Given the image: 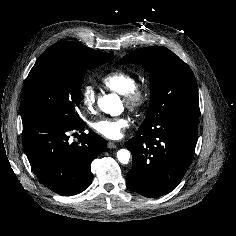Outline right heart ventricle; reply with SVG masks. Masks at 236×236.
I'll return each mask as SVG.
<instances>
[{
  "label": "right heart ventricle",
  "instance_id": "obj_1",
  "mask_svg": "<svg viewBox=\"0 0 236 236\" xmlns=\"http://www.w3.org/2000/svg\"><path fill=\"white\" fill-rule=\"evenodd\" d=\"M101 81L106 88L121 95L126 94L137 84L135 75L125 70L111 71L105 74Z\"/></svg>",
  "mask_w": 236,
  "mask_h": 236
}]
</instances>
